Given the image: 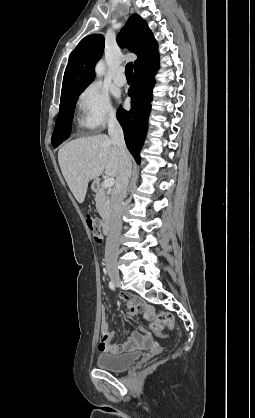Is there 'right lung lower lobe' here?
Wrapping results in <instances>:
<instances>
[{
	"instance_id": "98d812e1",
	"label": "right lung lower lobe",
	"mask_w": 255,
	"mask_h": 418,
	"mask_svg": "<svg viewBox=\"0 0 255 418\" xmlns=\"http://www.w3.org/2000/svg\"><path fill=\"white\" fill-rule=\"evenodd\" d=\"M159 68V60L134 72L132 86L128 90L132 108L126 111L119 108L118 121L124 131L126 145L139 164L140 150L148 129V117L153 99L152 90L156 83L155 74Z\"/></svg>"
}]
</instances>
